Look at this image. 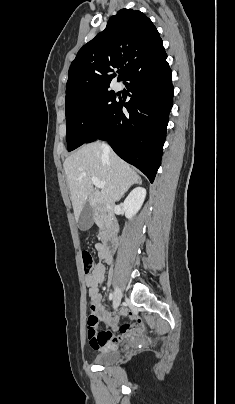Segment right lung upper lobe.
<instances>
[{
    "label": "right lung upper lobe",
    "instance_id": "cb5924a9",
    "mask_svg": "<svg viewBox=\"0 0 235 404\" xmlns=\"http://www.w3.org/2000/svg\"><path fill=\"white\" fill-rule=\"evenodd\" d=\"M166 55L156 27L140 11L121 9L112 16L106 29L84 45L69 69L66 102L109 88L115 68L126 80L139 69L154 64Z\"/></svg>",
    "mask_w": 235,
    "mask_h": 404
}]
</instances>
